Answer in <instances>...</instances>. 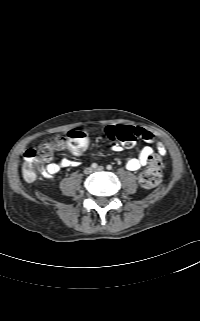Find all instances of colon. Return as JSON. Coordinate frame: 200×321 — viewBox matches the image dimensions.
<instances>
[{"mask_svg": "<svg viewBox=\"0 0 200 321\" xmlns=\"http://www.w3.org/2000/svg\"><path fill=\"white\" fill-rule=\"evenodd\" d=\"M106 137L111 141H116L124 147H132L138 137L140 129L128 125H109L104 130ZM63 140V139H62ZM65 140L71 153L74 156L83 157L86 154L87 134L81 130L70 131ZM64 141V140H63ZM55 151V143L46 142L38 149L29 148L23 154V176L27 181H32L36 177V171L43 161L51 158ZM162 179L161 159L157 155H152L149 166L141 173L139 181L145 188L157 186Z\"/></svg>", "mask_w": 200, "mask_h": 321, "instance_id": "1", "label": "colon"}]
</instances>
